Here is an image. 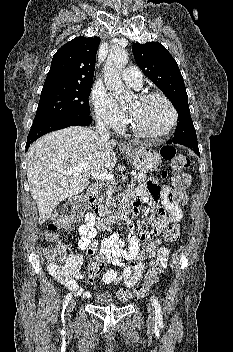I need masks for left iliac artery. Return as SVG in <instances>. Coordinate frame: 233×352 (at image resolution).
<instances>
[{
  "label": "left iliac artery",
  "mask_w": 233,
  "mask_h": 352,
  "mask_svg": "<svg viewBox=\"0 0 233 352\" xmlns=\"http://www.w3.org/2000/svg\"><path fill=\"white\" fill-rule=\"evenodd\" d=\"M151 301H152V304L155 308V313H156V320L161 323L162 322V312H161V306H160V303L159 301L154 297L152 296L151 297Z\"/></svg>",
  "instance_id": "obj_1"
}]
</instances>
